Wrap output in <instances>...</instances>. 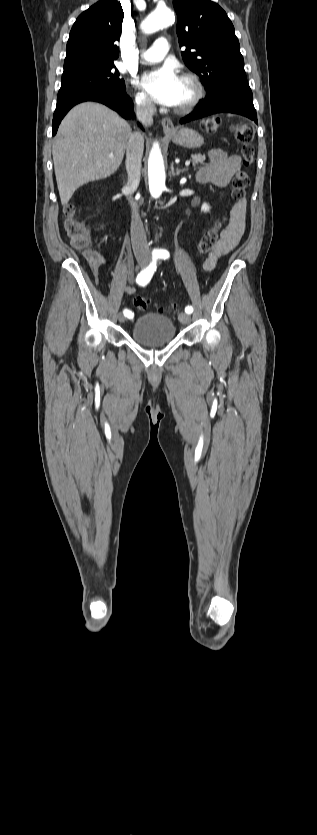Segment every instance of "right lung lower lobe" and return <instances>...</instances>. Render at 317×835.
<instances>
[{"label":"right lung lower lobe","mask_w":317,"mask_h":835,"mask_svg":"<svg viewBox=\"0 0 317 835\" xmlns=\"http://www.w3.org/2000/svg\"><path fill=\"white\" fill-rule=\"evenodd\" d=\"M85 101H96L103 103L117 111L122 117L130 119L134 116L133 102L125 90H118L110 87L96 88L80 91L64 98L58 99L56 110L53 115L52 134L55 135L58 126L67 112L76 104Z\"/></svg>","instance_id":"right-lung-lower-lobe-1"}]
</instances>
